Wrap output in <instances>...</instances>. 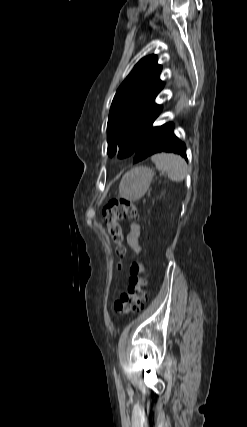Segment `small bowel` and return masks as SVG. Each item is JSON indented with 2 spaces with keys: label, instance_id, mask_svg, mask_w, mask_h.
Here are the masks:
<instances>
[{
  "label": "small bowel",
  "instance_id": "small-bowel-1",
  "mask_svg": "<svg viewBox=\"0 0 247 427\" xmlns=\"http://www.w3.org/2000/svg\"><path fill=\"white\" fill-rule=\"evenodd\" d=\"M139 236L140 227L137 224L132 223L130 226V232L127 236V243L135 252L140 251Z\"/></svg>",
  "mask_w": 247,
  "mask_h": 427
}]
</instances>
